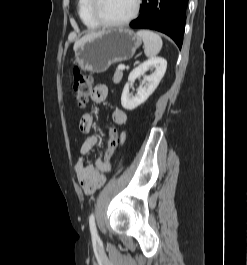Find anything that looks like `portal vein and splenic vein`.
Segmentation results:
<instances>
[{
    "label": "portal vein and splenic vein",
    "mask_w": 247,
    "mask_h": 265,
    "mask_svg": "<svg viewBox=\"0 0 247 265\" xmlns=\"http://www.w3.org/2000/svg\"><path fill=\"white\" fill-rule=\"evenodd\" d=\"M117 69L118 70H124L125 69V65H119Z\"/></svg>",
    "instance_id": "1"
}]
</instances>
